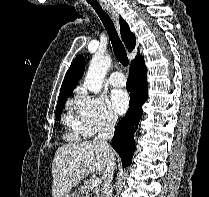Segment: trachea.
<instances>
[{"mask_svg": "<svg viewBox=\"0 0 209 197\" xmlns=\"http://www.w3.org/2000/svg\"><path fill=\"white\" fill-rule=\"evenodd\" d=\"M87 2L93 7V9L96 11L99 18L101 19V21L107 31L109 39L111 41V44H112V47L114 50V54H115L117 60L124 67H127L129 65L127 53H126L125 48L118 36V33L116 31L113 21L111 20L109 15L102 9L100 4L96 0H87Z\"/></svg>", "mask_w": 209, "mask_h": 197, "instance_id": "1", "label": "trachea"}]
</instances>
